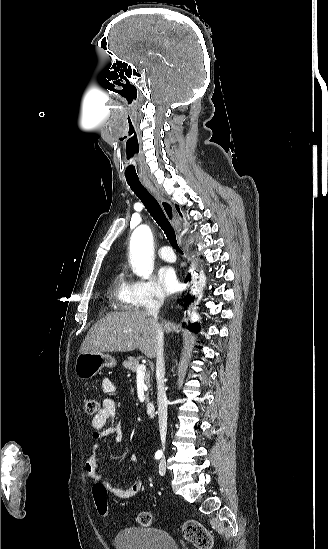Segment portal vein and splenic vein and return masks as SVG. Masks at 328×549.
I'll use <instances>...</instances> for the list:
<instances>
[{
  "label": "portal vein and splenic vein",
  "instance_id": "1",
  "mask_svg": "<svg viewBox=\"0 0 328 549\" xmlns=\"http://www.w3.org/2000/svg\"><path fill=\"white\" fill-rule=\"evenodd\" d=\"M145 371H146L145 365H139V367H137L138 375H140V373H145Z\"/></svg>",
  "mask_w": 328,
  "mask_h": 549
}]
</instances>
